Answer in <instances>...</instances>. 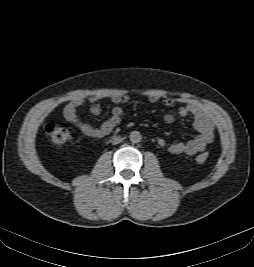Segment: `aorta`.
<instances>
[{"label":"aorta","mask_w":254,"mask_h":267,"mask_svg":"<svg viewBox=\"0 0 254 267\" xmlns=\"http://www.w3.org/2000/svg\"><path fill=\"white\" fill-rule=\"evenodd\" d=\"M129 137L132 143H138L142 139V135L139 131H132Z\"/></svg>","instance_id":"obj_1"}]
</instances>
